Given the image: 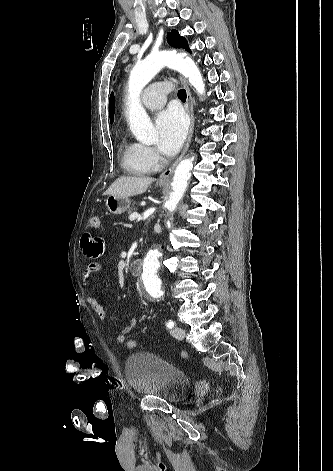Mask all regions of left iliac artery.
I'll use <instances>...</instances> for the list:
<instances>
[{"mask_svg": "<svg viewBox=\"0 0 333 471\" xmlns=\"http://www.w3.org/2000/svg\"><path fill=\"white\" fill-rule=\"evenodd\" d=\"M174 325H175V322L172 321V320H169V321L166 323V326H167V328H169V329L173 328Z\"/></svg>", "mask_w": 333, "mask_h": 471, "instance_id": "left-iliac-artery-1", "label": "left iliac artery"}]
</instances>
